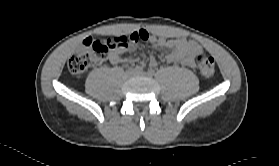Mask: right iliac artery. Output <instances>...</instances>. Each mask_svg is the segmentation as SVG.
Masks as SVG:
<instances>
[{
    "instance_id": "82829eb1",
    "label": "right iliac artery",
    "mask_w": 279,
    "mask_h": 166,
    "mask_svg": "<svg viewBox=\"0 0 279 166\" xmlns=\"http://www.w3.org/2000/svg\"><path fill=\"white\" fill-rule=\"evenodd\" d=\"M134 70H136L137 72H142L143 71V67L136 66Z\"/></svg>"
}]
</instances>
